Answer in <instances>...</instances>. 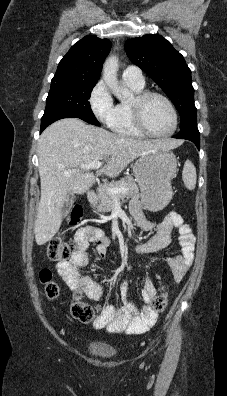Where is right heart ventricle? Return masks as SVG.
I'll use <instances>...</instances> for the list:
<instances>
[{"mask_svg": "<svg viewBox=\"0 0 227 396\" xmlns=\"http://www.w3.org/2000/svg\"><path fill=\"white\" fill-rule=\"evenodd\" d=\"M127 86L135 93L138 94L144 91V85L126 82ZM131 102L121 101L114 106V111L109 121L108 127L113 132L128 136V137H142L144 134L135 126L132 113Z\"/></svg>", "mask_w": 227, "mask_h": 396, "instance_id": "obj_1", "label": "right heart ventricle"}]
</instances>
